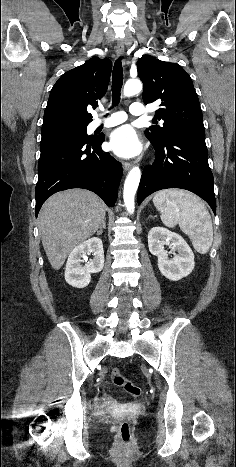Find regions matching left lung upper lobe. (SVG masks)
I'll use <instances>...</instances> for the list:
<instances>
[{
    "label": "left lung upper lobe",
    "instance_id": "5c2ea615",
    "mask_svg": "<svg viewBox=\"0 0 236 467\" xmlns=\"http://www.w3.org/2000/svg\"><path fill=\"white\" fill-rule=\"evenodd\" d=\"M138 76L143 81L145 104L159 102L156 117L163 126H151L145 134L151 141L162 143L171 134L183 130H204L202 111L192 79L176 63H168L150 55L137 62Z\"/></svg>",
    "mask_w": 236,
    "mask_h": 467
}]
</instances>
